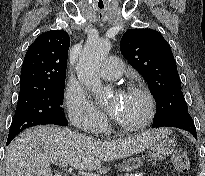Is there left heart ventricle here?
I'll list each match as a JSON object with an SVG mask.
<instances>
[{"label": "left heart ventricle", "mask_w": 205, "mask_h": 176, "mask_svg": "<svg viewBox=\"0 0 205 176\" xmlns=\"http://www.w3.org/2000/svg\"><path fill=\"white\" fill-rule=\"evenodd\" d=\"M147 113V103L143 96L130 92L121 100L114 118L122 123L133 125L140 122Z\"/></svg>", "instance_id": "b2bd125f"}]
</instances>
